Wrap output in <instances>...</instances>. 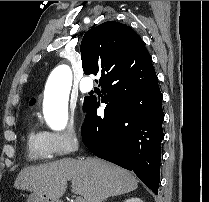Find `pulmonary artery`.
<instances>
[{"label":"pulmonary artery","mask_w":209,"mask_h":202,"mask_svg":"<svg viewBox=\"0 0 209 202\" xmlns=\"http://www.w3.org/2000/svg\"><path fill=\"white\" fill-rule=\"evenodd\" d=\"M92 87H93V81L91 79H86L81 84V88L83 91L90 90Z\"/></svg>","instance_id":"obj_1"}]
</instances>
